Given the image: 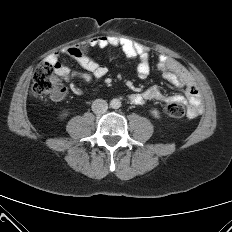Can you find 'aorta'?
<instances>
[{"instance_id": "762f6f07", "label": "aorta", "mask_w": 232, "mask_h": 232, "mask_svg": "<svg viewBox=\"0 0 232 232\" xmlns=\"http://www.w3.org/2000/svg\"><path fill=\"white\" fill-rule=\"evenodd\" d=\"M110 107L113 109H118L121 107V101L119 99H112L110 101Z\"/></svg>"}]
</instances>
